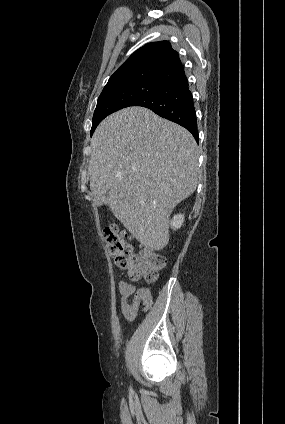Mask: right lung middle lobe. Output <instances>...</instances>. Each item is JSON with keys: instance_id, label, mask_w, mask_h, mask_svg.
<instances>
[{"instance_id": "dd1d6c3e", "label": "right lung middle lobe", "mask_w": 285, "mask_h": 424, "mask_svg": "<svg viewBox=\"0 0 285 424\" xmlns=\"http://www.w3.org/2000/svg\"><path fill=\"white\" fill-rule=\"evenodd\" d=\"M163 84L156 81H142L103 90L94 111L91 135L106 116L129 107L134 101L153 93Z\"/></svg>"}]
</instances>
